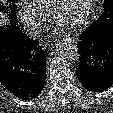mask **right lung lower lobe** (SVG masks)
Returning a JSON list of instances; mask_svg holds the SVG:
<instances>
[{"mask_svg": "<svg viewBox=\"0 0 113 113\" xmlns=\"http://www.w3.org/2000/svg\"><path fill=\"white\" fill-rule=\"evenodd\" d=\"M47 52L17 25L0 33V82L16 97L29 100L44 88Z\"/></svg>", "mask_w": 113, "mask_h": 113, "instance_id": "obj_1", "label": "right lung lower lobe"}]
</instances>
